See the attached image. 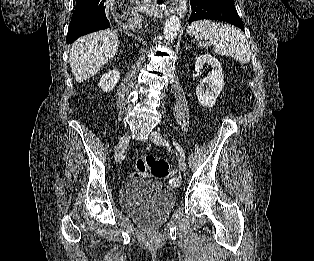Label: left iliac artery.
<instances>
[{
    "mask_svg": "<svg viewBox=\"0 0 314 261\" xmlns=\"http://www.w3.org/2000/svg\"><path fill=\"white\" fill-rule=\"evenodd\" d=\"M173 145L176 147V149L180 153L181 157H183L185 159V153H184L182 147L178 144V142L173 140Z\"/></svg>",
    "mask_w": 314,
    "mask_h": 261,
    "instance_id": "1",
    "label": "left iliac artery"
}]
</instances>
